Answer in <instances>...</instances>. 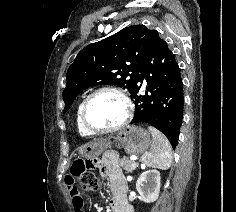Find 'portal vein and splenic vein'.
Segmentation results:
<instances>
[{"label": "portal vein and splenic vein", "instance_id": "18ae733b", "mask_svg": "<svg viewBox=\"0 0 236 212\" xmlns=\"http://www.w3.org/2000/svg\"><path fill=\"white\" fill-rule=\"evenodd\" d=\"M131 160H136L137 159V157H135V156H131V158H130ZM134 169L136 168V165L135 164H133V166H132Z\"/></svg>", "mask_w": 236, "mask_h": 212}]
</instances>
